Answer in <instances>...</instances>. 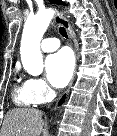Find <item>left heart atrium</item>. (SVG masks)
Masks as SVG:
<instances>
[{"label":"left heart atrium","instance_id":"left-heart-atrium-1","mask_svg":"<svg viewBox=\"0 0 117 136\" xmlns=\"http://www.w3.org/2000/svg\"><path fill=\"white\" fill-rule=\"evenodd\" d=\"M74 70V57L70 50L61 49L50 55L46 60L47 76L56 88L65 87L70 81Z\"/></svg>","mask_w":117,"mask_h":136}]
</instances>
